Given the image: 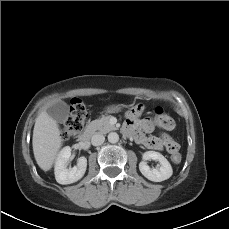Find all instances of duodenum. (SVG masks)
I'll return each instance as SVG.
<instances>
[{
    "mask_svg": "<svg viewBox=\"0 0 229 229\" xmlns=\"http://www.w3.org/2000/svg\"><path fill=\"white\" fill-rule=\"evenodd\" d=\"M93 135H94V129L93 128H89L85 133H83L79 137L78 141L81 144L89 143L90 140L92 139Z\"/></svg>",
    "mask_w": 229,
    "mask_h": 229,
    "instance_id": "410a0bca",
    "label": "duodenum"
}]
</instances>
